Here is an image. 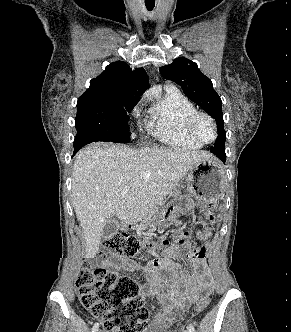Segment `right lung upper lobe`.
<instances>
[{
    "label": "right lung upper lobe",
    "mask_w": 291,
    "mask_h": 332,
    "mask_svg": "<svg viewBox=\"0 0 291 332\" xmlns=\"http://www.w3.org/2000/svg\"><path fill=\"white\" fill-rule=\"evenodd\" d=\"M149 87L143 68L134 71L122 61L113 62L105 71L90 81L89 89L78 99L127 98L138 101Z\"/></svg>",
    "instance_id": "right-lung-upper-lobe-1"
}]
</instances>
